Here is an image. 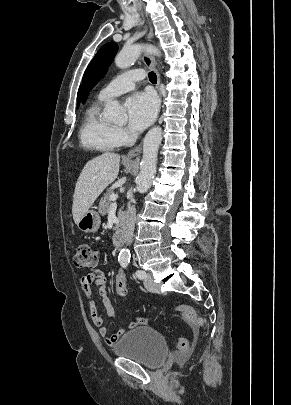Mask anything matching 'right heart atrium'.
I'll list each match as a JSON object with an SVG mask.
<instances>
[{
	"instance_id": "right-heart-atrium-1",
	"label": "right heart atrium",
	"mask_w": 291,
	"mask_h": 405,
	"mask_svg": "<svg viewBox=\"0 0 291 405\" xmlns=\"http://www.w3.org/2000/svg\"><path fill=\"white\" fill-rule=\"evenodd\" d=\"M115 135L119 144L124 143L128 139L127 131L122 127L115 128Z\"/></svg>"
}]
</instances>
